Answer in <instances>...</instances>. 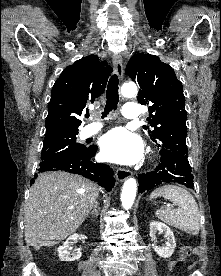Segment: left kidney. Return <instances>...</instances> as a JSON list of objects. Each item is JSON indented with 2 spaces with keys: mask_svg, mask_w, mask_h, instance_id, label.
<instances>
[{
  "mask_svg": "<svg viewBox=\"0 0 221 276\" xmlns=\"http://www.w3.org/2000/svg\"><path fill=\"white\" fill-rule=\"evenodd\" d=\"M149 228L151 241H155L157 232H165L167 239L165 246L158 247L153 245V248L159 256L163 258H169L173 254L176 247V241L173 232L166 224L158 221H152Z\"/></svg>",
  "mask_w": 221,
  "mask_h": 276,
  "instance_id": "1",
  "label": "left kidney"
}]
</instances>
